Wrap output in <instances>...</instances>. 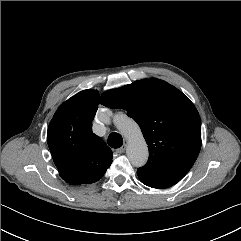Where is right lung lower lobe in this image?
I'll return each instance as SVG.
<instances>
[{
	"label": "right lung lower lobe",
	"mask_w": 241,
	"mask_h": 241,
	"mask_svg": "<svg viewBox=\"0 0 241 241\" xmlns=\"http://www.w3.org/2000/svg\"><path fill=\"white\" fill-rule=\"evenodd\" d=\"M62 179H64L67 183L72 184V185H79L77 180L72 178L71 176L68 175H60Z\"/></svg>",
	"instance_id": "right-lung-lower-lobe-1"
}]
</instances>
